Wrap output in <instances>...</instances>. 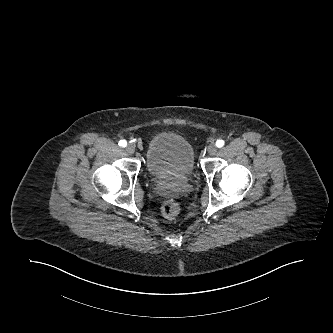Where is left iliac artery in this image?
Wrapping results in <instances>:
<instances>
[{"instance_id":"1","label":"left iliac artery","mask_w":333,"mask_h":333,"mask_svg":"<svg viewBox=\"0 0 333 333\" xmlns=\"http://www.w3.org/2000/svg\"><path fill=\"white\" fill-rule=\"evenodd\" d=\"M223 145H224V141L222 139H219V140L216 141V146L218 148L223 147Z\"/></svg>"}]
</instances>
